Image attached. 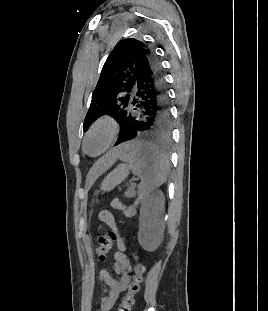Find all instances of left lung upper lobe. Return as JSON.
Listing matches in <instances>:
<instances>
[{
	"label": "left lung upper lobe",
	"instance_id": "1",
	"mask_svg": "<svg viewBox=\"0 0 268 311\" xmlns=\"http://www.w3.org/2000/svg\"><path fill=\"white\" fill-rule=\"evenodd\" d=\"M152 51L147 44L133 38L123 39L107 58L92 94L84 120V131L101 115L112 116L120 125L130 111L137 72L143 59Z\"/></svg>",
	"mask_w": 268,
	"mask_h": 311
}]
</instances>
